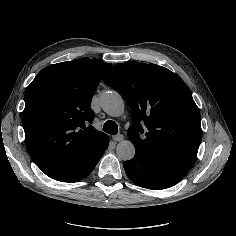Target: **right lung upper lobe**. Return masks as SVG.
Returning a JSON list of instances; mask_svg holds the SVG:
<instances>
[{
    "instance_id": "right-lung-upper-lobe-1",
    "label": "right lung upper lobe",
    "mask_w": 236,
    "mask_h": 236,
    "mask_svg": "<svg viewBox=\"0 0 236 236\" xmlns=\"http://www.w3.org/2000/svg\"><path fill=\"white\" fill-rule=\"evenodd\" d=\"M111 66L97 60H73L41 70L25 93L22 124L32 159L58 180L89 151L109 137L91 124V99Z\"/></svg>"
}]
</instances>
